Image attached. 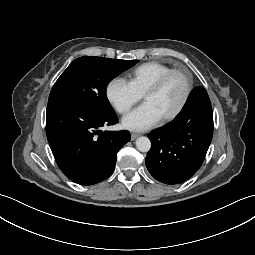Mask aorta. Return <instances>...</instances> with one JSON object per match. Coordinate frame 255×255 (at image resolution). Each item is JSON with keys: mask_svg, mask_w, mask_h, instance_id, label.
<instances>
[{"mask_svg": "<svg viewBox=\"0 0 255 255\" xmlns=\"http://www.w3.org/2000/svg\"><path fill=\"white\" fill-rule=\"evenodd\" d=\"M136 147L140 152H148L151 148V141L147 137H139L136 140Z\"/></svg>", "mask_w": 255, "mask_h": 255, "instance_id": "obj_1", "label": "aorta"}]
</instances>
